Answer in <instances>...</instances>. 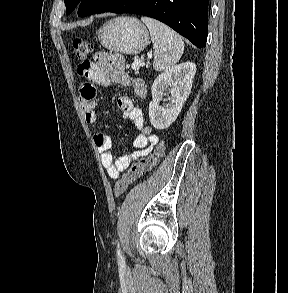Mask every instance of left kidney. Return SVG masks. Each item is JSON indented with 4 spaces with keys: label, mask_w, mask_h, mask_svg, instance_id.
Returning <instances> with one entry per match:
<instances>
[{
    "label": "left kidney",
    "mask_w": 288,
    "mask_h": 293,
    "mask_svg": "<svg viewBox=\"0 0 288 293\" xmlns=\"http://www.w3.org/2000/svg\"><path fill=\"white\" fill-rule=\"evenodd\" d=\"M195 73L196 65L186 62L167 69L154 80L149 104V118L154 128H168L176 120L190 94ZM167 90L168 103L160 106Z\"/></svg>",
    "instance_id": "obj_1"
}]
</instances>
